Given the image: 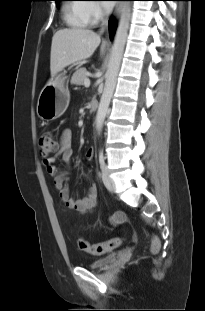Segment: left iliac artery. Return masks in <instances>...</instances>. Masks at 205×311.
<instances>
[{
  "label": "left iliac artery",
  "instance_id": "left-iliac-artery-1",
  "mask_svg": "<svg viewBox=\"0 0 205 311\" xmlns=\"http://www.w3.org/2000/svg\"><path fill=\"white\" fill-rule=\"evenodd\" d=\"M105 158H104V155H103V150L100 149L99 151V163H100V166L101 168L105 165Z\"/></svg>",
  "mask_w": 205,
  "mask_h": 311
}]
</instances>
